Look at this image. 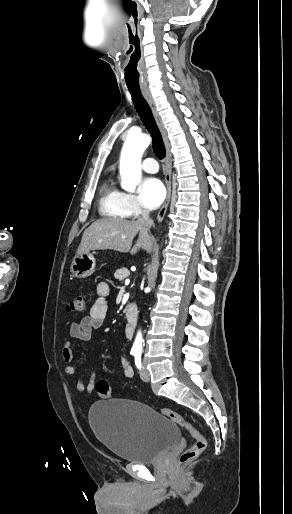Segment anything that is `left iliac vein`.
Segmentation results:
<instances>
[{"instance_id":"1","label":"left iliac vein","mask_w":292,"mask_h":514,"mask_svg":"<svg viewBox=\"0 0 292 514\" xmlns=\"http://www.w3.org/2000/svg\"><path fill=\"white\" fill-rule=\"evenodd\" d=\"M140 377L144 382L149 381V379H150L149 371L145 367H142V369L140 371Z\"/></svg>"}]
</instances>
